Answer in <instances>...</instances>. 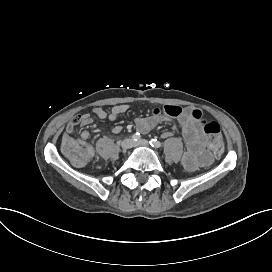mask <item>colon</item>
<instances>
[{
  "instance_id": "obj_1",
  "label": "colon",
  "mask_w": 272,
  "mask_h": 272,
  "mask_svg": "<svg viewBox=\"0 0 272 272\" xmlns=\"http://www.w3.org/2000/svg\"><path fill=\"white\" fill-rule=\"evenodd\" d=\"M193 116L197 120L201 118L199 113H194ZM202 124L207 147L216 156H220L224 149V138L220 125L215 121H203ZM61 149L78 169L84 170L90 166L93 151L87 140L75 135L66 137L61 142Z\"/></svg>"
}]
</instances>
